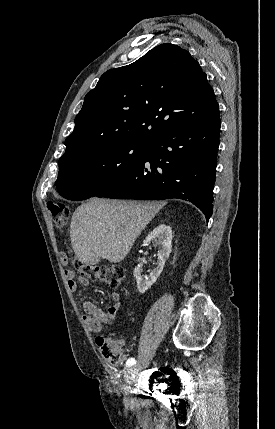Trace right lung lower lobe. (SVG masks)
<instances>
[{
  "label": "right lung lower lobe",
  "mask_w": 275,
  "mask_h": 429,
  "mask_svg": "<svg viewBox=\"0 0 275 429\" xmlns=\"http://www.w3.org/2000/svg\"><path fill=\"white\" fill-rule=\"evenodd\" d=\"M220 126L218 114L153 139L142 162L96 197L183 199L195 204L208 221L213 211Z\"/></svg>",
  "instance_id": "1"
}]
</instances>
